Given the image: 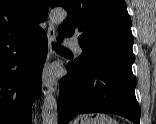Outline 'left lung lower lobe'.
<instances>
[{"label": "left lung lower lobe", "instance_id": "1", "mask_svg": "<svg viewBox=\"0 0 156 124\" xmlns=\"http://www.w3.org/2000/svg\"><path fill=\"white\" fill-rule=\"evenodd\" d=\"M57 40L61 42L63 36ZM67 71L60 81L58 124L83 113H113L140 124L132 72L114 63H100L88 70L75 69L68 63Z\"/></svg>", "mask_w": 156, "mask_h": 124}]
</instances>
